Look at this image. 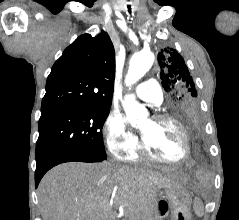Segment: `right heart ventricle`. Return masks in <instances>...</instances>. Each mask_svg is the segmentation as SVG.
I'll use <instances>...</instances> for the list:
<instances>
[{
  "instance_id": "1",
  "label": "right heart ventricle",
  "mask_w": 239,
  "mask_h": 220,
  "mask_svg": "<svg viewBox=\"0 0 239 220\" xmlns=\"http://www.w3.org/2000/svg\"><path fill=\"white\" fill-rule=\"evenodd\" d=\"M128 158L130 160H137L139 159V155L136 151L132 150L131 152H129Z\"/></svg>"
}]
</instances>
